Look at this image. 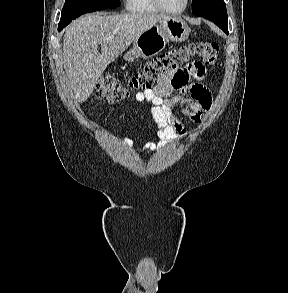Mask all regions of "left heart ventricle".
I'll use <instances>...</instances> for the list:
<instances>
[{"instance_id":"obj_1","label":"left heart ventricle","mask_w":288,"mask_h":293,"mask_svg":"<svg viewBox=\"0 0 288 293\" xmlns=\"http://www.w3.org/2000/svg\"><path fill=\"white\" fill-rule=\"evenodd\" d=\"M161 1L165 7L171 10H178L184 4V0H161Z\"/></svg>"}]
</instances>
